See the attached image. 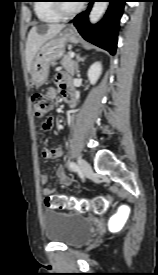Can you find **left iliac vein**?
Segmentation results:
<instances>
[{
	"label": "left iliac vein",
	"instance_id": "obj_1",
	"mask_svg": "<svg viewBox=\"0 0 158 275\" xmlns=\"http://www.w3.org/2000/svg\"><path fill=\"white\" fill-rule=\"evenodd\" d=\"M78 166H79L80 171L82 173H84L85 175L91 174V172H92L91 166L86 160L79 158Z\"/></svg>",
	"mask_w": 158,
	"mask_h": 275
}]
</instances>
